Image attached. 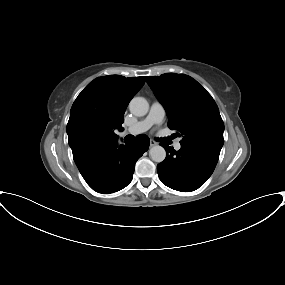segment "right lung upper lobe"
I'll return each mask as SVG.
<instances>
[{"instance_id": "1", "label": "right lung upper lobe", "mask_w": 285, "mask_h": 285, "mask_svg": "<svg viewBox=\"0 0 285 285\" xmlns=\"http://www.w3.org/2000/svg\"><path fill=\"white\" fill-rule=\"evenodd\" d=\"M145 77L102 76L90 82L74 101L67 124L73 158L88 149L117 140L124 113Z\"/></svg>"}]
</instances>
